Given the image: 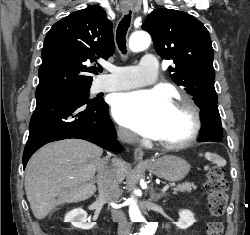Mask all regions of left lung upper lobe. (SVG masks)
<instances>
[{"label":"left lung upper lobe","mask_w":250,"mask_h":235,"mask_svg":"<svg viewBox=\"0 0 250 235\" xmlns=\"http://www.w3.org/2000/svg\"><path fill=\"white\" fill-rule=\"evenodd\" d=\"M153 38L157 53L174 66L168 70L174 82L193 96L200 109L215 103L213 48L208 30L183 11L158 8L142 25Z\"/></svg>","instance_id":"5c2ea615"}]
</instances>
